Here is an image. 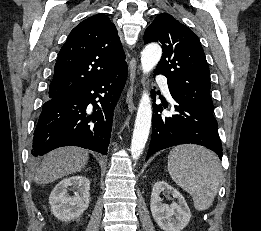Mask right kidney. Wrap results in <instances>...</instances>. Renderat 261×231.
I'll return each instance as SVG.
<instances>
[{"instance_id":"ca27d5eb","label":"right kidney","mask_w":261,"mask_h":231,"mask_svg":"<svg viewBox=\"0 0 261 231\" xmlns=\"http://www.w3.org/2000/svg\"><path fill=\"white\" fill-rule=\"evenodd\" d=\"M72 186L74 196H69L68 187ZM90 181L84 176H72L61 180L49 196L51 211L56 218L70 221L79 218L90 203Z\"/></svg>"}]
</instances>
